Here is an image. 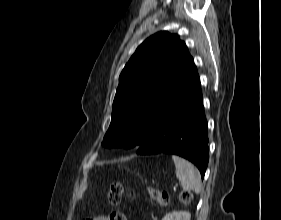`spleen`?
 I'll return each instance as SVG.
<instances>
[{
  "label": "spleen",
  "mask_w": 281,
  "mask_h": 220,
  "mask_svg": "<svg viewBox=\"0 0 281 220\" xmlns=\"http://www.w3.org/2000/svg\"><path fill=\"white\" fill-rule=\"evenodd\" d=\"M172 159L176 168V176L184 190H193L200 193L202 189L201 176L199 171L187 160L173 155Z\"/></svg>",
  "instance_id": "obj_1"
}]
</instances>
